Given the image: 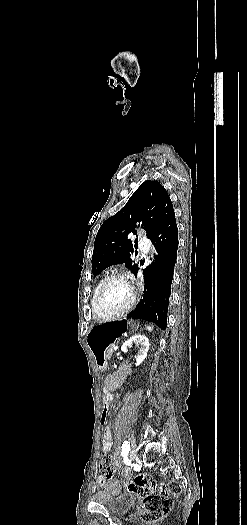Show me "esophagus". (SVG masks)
I'll list each match as a JSON object with an SVG mask.
<instances>
[{
  "mask_svg": "<svg viewBox=\"0 0 247 525\" xmlns=\"http://www.w3.org/2000/svg\"><path fill=\"white\" fill-rule=\"evenodd\" d=\"M142 291H143V287H141V292H142ZM140 298H141V296H140Z\"/></svg>",
  "mask_w": 247,
  "mask_h": 525,
  "instance_id": "esophagus-1",
  "label": "esophagus"
}]
</instances>
